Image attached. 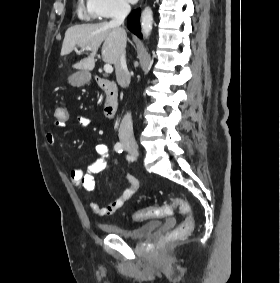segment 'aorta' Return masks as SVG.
<instances>
[{
	"instance_id": "762f6f07",
	"label": "aorta",
	"mask_w": 280,
	"mask_h": 283,
	"mask_svg": "<svg viewBox=\"0 0 280 283\" xmlns=\"http://www.w3.org/2000/svg\"><path fill=\"white\" fill-rule=\"evenodd\" d=\"M153 26V12L150 7H146L141 15V28L144 37H148Z\"/></svg>"
}]
</instances>
